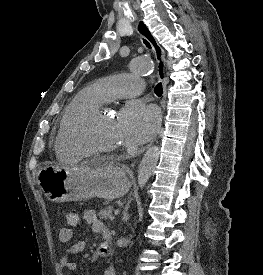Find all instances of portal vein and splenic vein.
<instances>
[{
  "label": "portal vein and splenic vein",
  "instance_id": "18ae733b",
  "mask_svg": "<svg viewBox=\"0 0 263 275\" xmlns=\"http://www.w3.org/2000/svg\"><path fill=\"white\" fill-rule=\"evenodd\" d=\"M119 213H120V210H119V209L114 210V214H115V215H118Z\"/></svg>",
  "mask_w": 263,
  "mask_h": 275
}]
</instances>
